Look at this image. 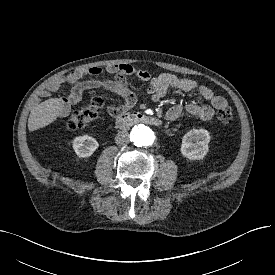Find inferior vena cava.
Listing matches in <instances>:
<instances>
[{
    "mask_svg": "<svg viewBox=\"0 0 275 275\" xmlns=\"http://www.w3.org/2000/svg\"><path fill=\"white\" fill-rule=\"evenodd\" d=\"M115 142L118 145H125L129 142V134L127 132H119L115 137Z\"/></svg>",
    "mask_w": 275,
    "mask_h": 275,
    "instance_id": "inferior-vena-cava-1",
    "label": "inferior vena cava"
}]
</instances>
